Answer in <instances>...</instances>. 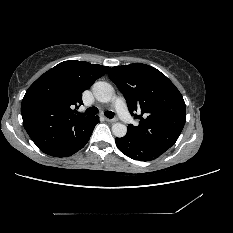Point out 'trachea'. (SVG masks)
I'll use <instances>...</instances> for the list:
<instances>
[{
  "mask_svg": "<svg viewBox=\"0 0 233 233\" xmlns=\"http://www.w3.org/2000/svg\"><path fill=\"white\" fill-rule=\"evenodd\" d=\"M98 113V108L97 107H89L86 111L85 114L89 115V116H94ZM104 115L109 118L112 119L114 117V113L112 111H105Z\"/></svg>",
  "mask_w": 233,
  "mask_h": 233,
  "instance_id": "1",
  "label": "trachea"
}]
</instances>
